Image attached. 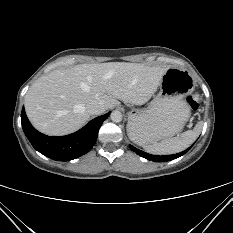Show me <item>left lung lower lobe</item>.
<instances>
[{"label":"left lung lower lobe","instance_id":"0a47b994","mask_svg":"<svg viewBox=\"0 0 233 233\" xmlns=\"http://www.w3.org/2000/svg\"><path fill=\"white\" fill-rule=\"evenodd\" d=\"M129 147H130V149L132 151H134L135 153H137L141 157H144V158H146L148 160H152L154 162H160V161L166 162V161H170V160L176 159V158L184 155L185 153H187L189 151V149L191 148V147H189L185 151L177 153V154L159 156V155H151V154H148L146 152H143V151H141V150L133 147L132 145H129Z\"/></svg>","mask_w":233,"mask_h":233}]
</instances>
